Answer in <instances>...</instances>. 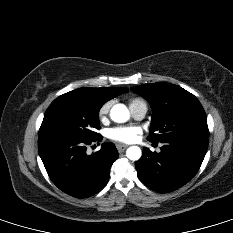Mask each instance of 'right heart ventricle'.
I'll list each match as a JSON object with an SVG mask.
<instances>
[{"mask_svg": "<svg viewBox=\"0 0 233 233\" xmlns=\"http://www.w3.org/2000/svg\"><path fill=\"white\" fill-rule=\"evenodd\" d=\"M142 102H143L142 100L135 98L130 101V106L137 104V103H142Z\"/></svg>", "mask_w": 233, "mask_h": 233, "instance_id": "1", "label": "right heart ventricle"}]
</instances>
